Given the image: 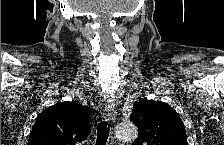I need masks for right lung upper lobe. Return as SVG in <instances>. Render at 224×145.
Masks as SVG:
<instances>
[{
  "instance_id": "1",
  "label": "right lung upper lobe",
  "mask_w": 224,
  "mask_h": 145,
  "mask_svg": "<svg viewBox=\"0 0 224 145\" xmlns=\"http://www.w3.org/2000/svg\"><path fill=\"white\" fill-rule=\"evenodd\" d=\"M93 109L74 101L58 102L38 116L32 127L28 145H78L90 129Z\"/></svg>"
}]
</instances>
